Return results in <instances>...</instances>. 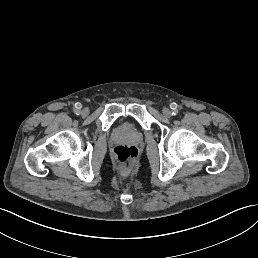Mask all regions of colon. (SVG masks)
Returning <instances> with one entry per match:
<instances>
[{"mask_svg":"<svg viewBox=\"0 0 258 258\" xmlns=\"http://www.w3.org/2000/svg\"><path fill=\"white\" fill-rule=\"evenodd\" d=\"M113 154L116 161L124 167L132 166L139 156L138 149L129 145H119L115 147Z\"/></svg>","mask_w":258,"mask_h":258,"instance_id":"colon-1","label":"colon"}]
</instances>
